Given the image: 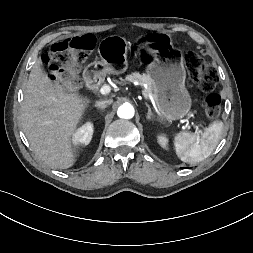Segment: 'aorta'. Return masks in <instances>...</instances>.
Masks as SVG:
<instances>
[{"mask_svg": "<svg viewBox=\"0 0 253 253\" xmlns=\"http://www.w3.org/2000/svg\"><path fill=\"white\" fill-rule=\"evenodd\" d=\"M134 112L133 106L126 103L118 108L117 115L123 119H130L134 116Z\"/></svg>", "mask_w": 253, "mask_h": 253, "instance_id": "obj_1", "label": "aorta"}]
</instances>
